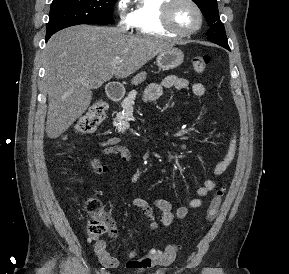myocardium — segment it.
Returning a JSON list of instances; mask_svg holds the SVG:
<instances>
[{
  "label": "myocardium",
  "mask_w": 289,
  "mask_h": 274,
  "mask_svg": "<svg viewBox=\"0 0 289 274\" xmlns=\"http://www.w3.org/2000/svg\"><path fill=\"white\" fill-rule=\"evenodd\" d=\"M179 1H182V0H167L165 2V4L162 7L161 21H162V25L164 26V28L168 30L169 32H171L172 34H174L175 36L188 37L197 33L201 29L203 22H204V15L200 6L195 0H183V1L188 2L195 9L198 15V24L194 28L189 29V30H181L177 28L174 25L173 20H172V11H173L175 4L178 3Z\"/></svg>",
  "instance_id": "1"
}]
</instances>
